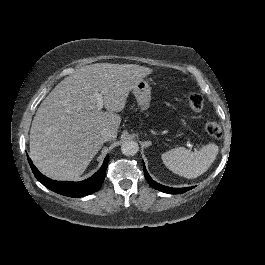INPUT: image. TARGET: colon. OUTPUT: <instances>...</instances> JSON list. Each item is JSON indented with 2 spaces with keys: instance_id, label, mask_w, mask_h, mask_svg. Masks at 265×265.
<instances>
[{
  "instance_id": "5ec220e1",
  "label": "colon",
  "mask_w": 265,
  "mask_h": 265,
  "mask_svg": "<svg viewBox=\"0 0 265 265\" xmlns=\"http://www.w3.org/2000/svg\"><path fill=\"white\" fill-rule=\"evenodd\" d=\"M188 102L190 108L194 111H200L203 108V99L197 93H190ZM205 130L212 137L219 138L221 136V126L216 119L208 120L205 124Z\"/></svg>"
}]
</instances>
